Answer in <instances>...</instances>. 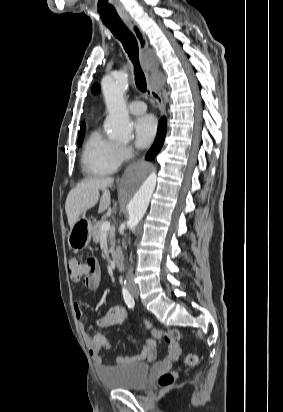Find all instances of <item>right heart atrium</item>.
I'll return each instance as SVG.
<instances>
[{"instance_id": "1", "label": "right heart atrium", "mask_w": 283, "mask_h": 412, "mask_svg": "<svg viewBox=\"0 0 283 412\" xmlns=\"http://www.w3.org/2000/svg\"><path fill=\"white\" fill-rule=\"evenodd\" d=\"M133 149L129 145H121L120 146V156L123 160H127L132 156Z\"/></svg>"}]
</instances>
